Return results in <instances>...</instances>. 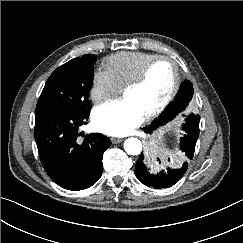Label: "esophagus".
<instances>
[{
    "label": "esophagus",
    "instance_id": "esophagus-1",
    "mask_svg": "<svg viewBox=\"0 0 243 243\" xmlns=\"http://www.w3.org/2000/svg\"><path fill=\"white\" fill-rule=\"evenodd\" d=\"M123 141V139H120V138H111V142L113 144H118V143H121Z\"/></svg>",
    "mask_w": 243,
    "mask_h": 243
}]
</instances>
